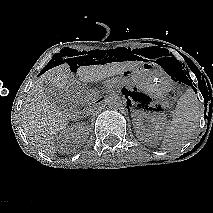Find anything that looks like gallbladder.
<instances>
[{
  "instance_id": "bac80fb5",
  "label": "gallbladder",
  "mask_w": 213,
  "mask_h": 213,
  "mask_svg": "<svg viewBox=\"0 0 213 213\" xmlns=\"http://www.w3.org/2000/svg\"><path fill=\"white\" fill-rule=\"evenodd\" d=\"M43 87L48 99L59 109L68 110L70 108L69 99L64 92L59 91L50 82H44Z\"/></svg>"
}]
</instances>
